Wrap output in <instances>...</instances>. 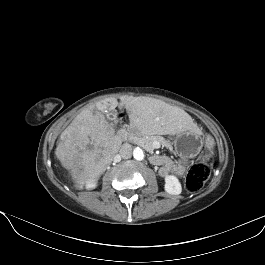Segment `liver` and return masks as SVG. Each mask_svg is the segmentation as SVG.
I'll use <instances>...</instances> for the list:
<instances>
[{"label": "liver", "instance_id": "6515ba94", "mask_svg": "<svg viewBox=\"0 0 265 265\" xmlns=\"http://www.w3.org/2000/svg\"><path fill=\"white\" fill-rule=\"evenodd\" d=\"M117 106L126 109L131 126L151 134L188 130L201 134L188 113L159 99L123 96L118 102L115 97L105 98L84 108L60 135L55 155L76 183L97 180L119 152L122 140L104 115Z\"/></svg>", "mask_w": 265, "mask_h": 265}]
</instances>
